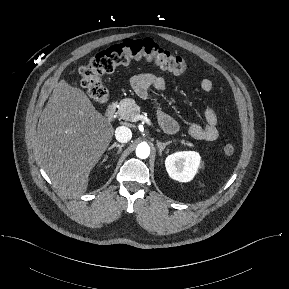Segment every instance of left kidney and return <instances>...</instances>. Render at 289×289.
<instances>
[{
	"label": "left kidney",
	"instance_id": "obj_1",
	"mask_svg": "<svg viewBox=\"0 0 289 289\" xmlns=\"http://www.w3.org/2000/svg\"><path fill=\"white\" fill-rule=\"evenodd\" d=\"M200 159L199 153L194 151L176 152L166 158V170L172 179L189 182L198 171Z\"/></svg>",
	"mask_w": 289,
	"mask_h": 289
}]
</instances>
